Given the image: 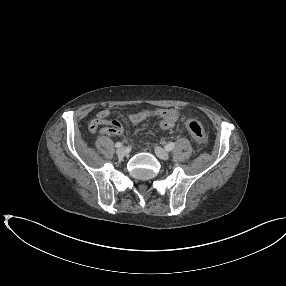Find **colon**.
<instances>
[{
    "label": "colon",
    "instance_id": "colon-1",
    "mask_svg": "<svg viewBox=\"0 0 286 286\" xmlns=\"http://www.w3.org/2000/svg\"><path fill=\"white\" fill-rule=\"evenodd\" d=\"M186 127L191 136L199 145H204L206 142V133L203 125L197 120H189L186 122Z\"/></svg>",
    "mask_w": 286,
    "mask_h": 286
}]
</instances>
